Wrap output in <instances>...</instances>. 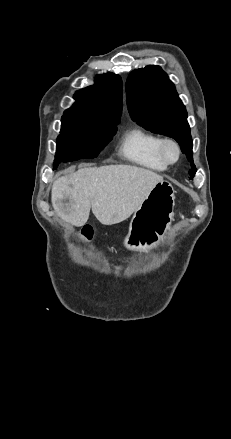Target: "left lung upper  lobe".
<instances>
[{"label": "left lung upper lobe", "instance_id": "5c2ea615", "mask_svg": "<svg viewBox=\"0 0 231 439\" xmlns=\"http://www.w3.org/2000/svg\"><path fill=\"white\" fill-rule=\"evenodd\" d=\"M126 92L132 119L153 133L175 139L191 162L192 179L197 169L187 112L167 74L156 65L134 70L127 78Z\"/></svg>", "mask_w": 231, "mask_h": 439}]
</instances>
